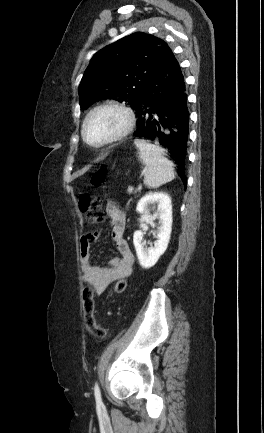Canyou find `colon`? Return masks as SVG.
I'll use <instances>...</instances> for the list:
<instances>
[{
  "label": "colon",
  "mask_w": 264,
  "mask_h": 433,
  "mask_svg": "<svg viewBox=\"0 0 264 433\" xmlns=\"http://www.w3.org/2000/svg\"><path fill=\"white\" fill-rule=\"evenodd\" d=\"M107 176V167L100 165L91 175V184L95 187L101 186ZM79 204L82 212L86 215L88 222L92 224L101 223L105 220V213L102 210L101 198L89 193H82L79 197ZM127 287V282L121 279L114 285L115 293H122ZM84 320L88 331L97 338H104L107 330L98 326L94 318V290L91 286L86 285L82 293Z\"/></svg>",
  "instance_id": "5ec220e1"
}]
</instances>
